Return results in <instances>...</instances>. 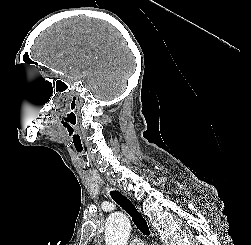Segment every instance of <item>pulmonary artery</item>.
Wrapping results in <instances>:
<instances>
[{
  "instance_id": "pulmonary-artery-1",
  "label": "pulmonary artery",
  "mask_w": 251,
  "mask_h": 245,
  "mask_svg": "<svg viewBox=\"0 0 251 245\" xmlns=\"http://www.w3.org/2000/svg\"><path fill=\"white\" fill-rule=\"evenodd\" d=\"M129 245H146V243L140 239H134Z\"/></svg>"
}]
</instances>
